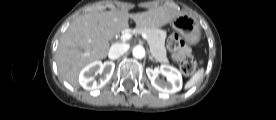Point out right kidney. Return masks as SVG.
Wrapping results in <instances>:
<instances>
[{"label": "right kidney", "instance_id": "obj_1", "mask_svg": "<svg viewBox=\"0 0 276 120\" xmlns=\"http://www.w3.org/2000/svg\"><path fill=\"white\" fill-rule=\"evenodd\" d=\"M114 68L115 64L111 61L104 63L101 61H94L81 70L79 74V83L85 90H97L110 80ZM97 74H101L99 80L94 78V75Z\"/></svg>", "mask_w": 276, "mask_h": 120}]
</instances>
